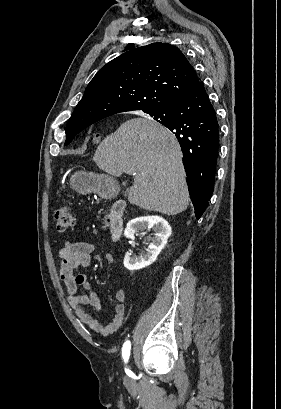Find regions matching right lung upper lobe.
I'll list each match as a JSON object with an SVG mask.
<instances>
[{"mask_svg": "<svg viewBox=\"0 0 281 409\" xmlns=\"http://www.w3.org/2000/svg\"><path fill=\"white\" fill-rule=\"evenodd\" d=\"M199 84L194 68L176 47L153 43L131 49L97 72L66 127L89 126L120 112L161 109Z\"/></svg>", "mask_w": 281, "mask_h": 409, "instance_id": "right-lung-upper-lobe-1", "label": "right lung upper lobe"}]
</instances>
